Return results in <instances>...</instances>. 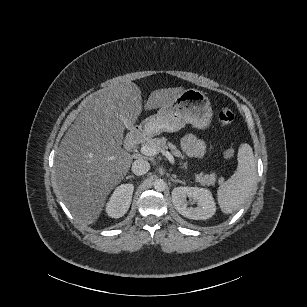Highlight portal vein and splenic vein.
Instances as JSON below:
<instances>
[{
	"instance_id": "18ae733b",
	"label": "portal vein and splenic vein",
	"mask_w": 307,
	"mask_h": 307,
	"mask_svg": "<svg viewBox=\"0 0 307 307\" xmlns=\"http://www.w3.org/2000/svg\"><path fill=\"white\" fill-rule=\"evenodd\" d=\"M141 152L147 156H155L158 153H161L169 161H174L173 155L164 148L156 149L154 146H143Z\"/></svg>"
}]
</instances>
